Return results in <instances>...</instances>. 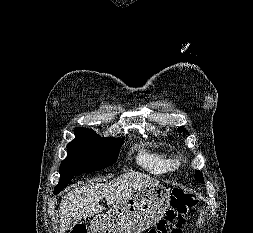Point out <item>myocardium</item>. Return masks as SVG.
I'll list each match as a JSON object with an SVG mask.
<instances>
[{
  "instance_id": "f54148a6",
  "label": "myocardium",
  "mask_w": 253,
  "mask_h": 233,
  "mask_svg": "<svg viewBox=\"0 0 253 233\" xmlns=\"http://www.w3.org/2000/svg\"><path fill=\"white\" fill-rule=\"evenodd\" d=\"M180 163V160L178 159L177 161H176V165H178Z\"/></svg>"
}]
</instances>
